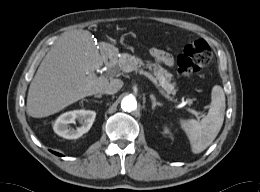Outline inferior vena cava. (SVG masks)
I'll list each match as a JSON object with an SVG mask.
<instances>
[{"label":"inferior vena cava","instance_id":"obj_1","mask_svg":"<svg viewBox=\"0 0 260 192\" xmlns=\"http://www.w3.org/2000/svg\"><path fill=\"white\" fill-rule=\"evenodd\" d=\"M123 86V82L120 79H112L106 88L102 90V93L105 94H115Z\"/></svg>","mask_w":260,"mask_h":192}]
</instances>
